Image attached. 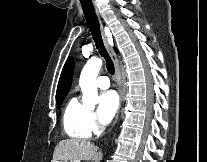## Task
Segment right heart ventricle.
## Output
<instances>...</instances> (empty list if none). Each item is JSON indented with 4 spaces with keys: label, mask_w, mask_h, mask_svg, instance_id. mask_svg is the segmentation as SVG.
<instances>
[{
    "label": "right heart ventricle",
    "mask_w": 207,
    "mask_h": 162,
    "mask_svg": "<svg viewBox=\"0 0 207 162\" xmlns=\"http://www.w3.org/2000/svg\"><path fill=\"white\" fill-rule=\"evenodd\" d=\"M88 107L77 97H72L68 101L62 116V125L66 134L75 139H89L92 130L89 125Z\"/></svg>",
    "instance_id": "right-heart-ventricle-1"
}]
</instances>
